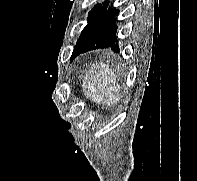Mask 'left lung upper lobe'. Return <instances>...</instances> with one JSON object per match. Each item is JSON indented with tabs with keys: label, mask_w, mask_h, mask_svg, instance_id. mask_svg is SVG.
Listing matches in <instances>:
<instances>
[{
	"label": "left lung upper lobe",
	"mask_w": 197,
	"mask_h": 181,
	"mask_svg": "<svg viewBox=\"0 0 197 181\" xmlns=\"http://www.w3.org/2000/svg\"><path fill=\"white\" fill-rule=\"evenodd\" d=\"M108 6H109V4H108V1L106 0L103 2V4L95 5L94 8L89 12L88 24L83 29V31L77 41V44L74 47L70 61H72V59L77 56L78 51L87 42V40L91 36L93 30L97 26L98 22L103 17V15L106 13Z\"/></svg>",
	"instance_id": "1"
}]
</instances>
